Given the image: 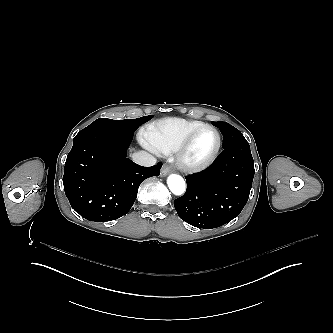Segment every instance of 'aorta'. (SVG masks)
Here are the masks:
<instances>
[{"label":"aorta","mask_w":333,"mask_h":333,"mask_svg":"<svg viewBox=\"0 0 333 333\" xmlns=\"http://www.w3.org/2000/svg\"><path fill=\"white\" fill-rule=\"evenodd\" d=\"M167 184L170 191L174 195H182L186 191V183L182 176L178 174H170L167 178Z\"/></svg>","instance_id":"1"}]
</instances>
